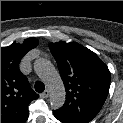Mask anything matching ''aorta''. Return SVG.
I'll return each instance as SVG.
<instances>
[{"instance_id":"aorta-1","label":"aorta","mask_w":123,"mask_h":123,"mask_svg":"<svg viewBox=\"0 0 123 123\" xmlns=\"http://www.w3.org/2000/svg\"><path fill=\"white\" fill-rule=\"evenodd\" d=\"M34 70L49 89L51 107L61 108L65 103V87L53 64L48 59L39 58L34 63Z\"/></svg>"}]
</instances>
